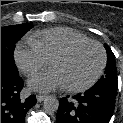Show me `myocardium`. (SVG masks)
<instances>
[{
  "label": "myocardium",
  "instance_id": "myocardium-1",
  "mask_svg": "<svg viewBox=\"0 0 123 123\" xmlns=\"http://www.w3.org/2000/svg\"><path fill=\"white\" fill-rule=\"evenodd\" d=\"M85 45H95L99 48L100 53H101L100 66H99L97 72L95 73V75L88 82L81 84V85H77V86H66L65 85L64 88L69 92L85 91V90L91 88L100 79V77L104 73V70H105L106 64H107V53H106L104 46L100 42H98L96 40H92V39L77 41V42L70 44L66 48L62 49L61 51L57 52L56 54H54L51 57V59L49 60V63H51L53 60L65 58V57L69 56L70 54H72L78 48L85 46Z\"/></svg>",
  "mask_w": 123,
  "mask_h": 123
}]
</instances>
